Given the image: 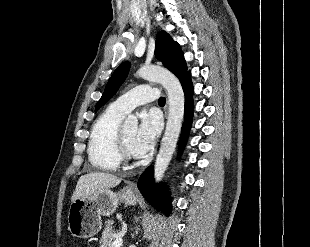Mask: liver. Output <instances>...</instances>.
<instances>
[{"label":"liver","instance_id":"1","mask_svg":"<svg viewBox=\"0 0 310 247\" xmlns=\"http://www.w3.org/2000/svg\"><path fill=\"white\" fill-rule=\"evenodd\" d=\"M120 182L121 178L113 174L104 172L87 173L79 178L71 201L88 197L100 189L115 187L119 185Z\"/></svg>","mask_w":310,"mask_h":247}]
</instances>
